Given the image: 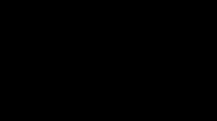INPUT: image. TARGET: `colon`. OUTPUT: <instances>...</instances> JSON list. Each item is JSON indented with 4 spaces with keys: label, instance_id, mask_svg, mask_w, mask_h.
<instances>
[{
    "label": "colon",
    "instance_id": "colon-1",
    "mask_svg": "<svg viewBox=\"0 0 217 121\" xmlns=\"http://www.w3.org/2000/svg\"><path fill=\"white\" fill-rule=\"evenodd\" d=\"M180 2L185 4L187 1L181 0ZM63 22L64 18L60 12L51 11L46 15L41 29L47 36H57L62 30Z\"/></svg>",
    "mask_w": 217,
    "mask_h": 121
}]
</instances>
